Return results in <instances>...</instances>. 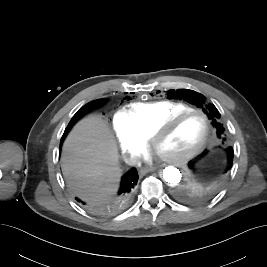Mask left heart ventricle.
<instances>
[{
  "label": "left heart ventricle",
  "mask_w": 267,
  "mask_h": 267,
  "mask_svg": "<svg viewBox=\"0 0 267 267\" xmlns=\"http://www.w3.org/2000/svg\"><path fill=\"white\" fill-rule=\"evenodd\" d=\"M205 133L204 119L197 114L188 115L164 135L157 146L162 156H171L193 148Z\"/></svg>",
  "instance_id": "1"
}]
</instances>
